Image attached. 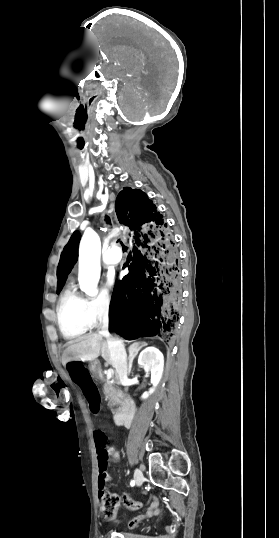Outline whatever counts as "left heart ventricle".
Masks as SVG:
<instances>
[{
	"instance_id": "b2bd125f",
	"label": "left heart ventricle",
	"mask_w": 279,
	"mask_h": 538,
	"mask_svg": "<svg viewBox=\"0 0 279 538\" xmlns=\"http://www.w3.org/2000/svg\"><path fill=\"white\" fill-rule=\"evenodd\" d=\"M68 209H69L70 211H79V210H82L83 207H68Z\"/></svg>"
}]
</instances>
